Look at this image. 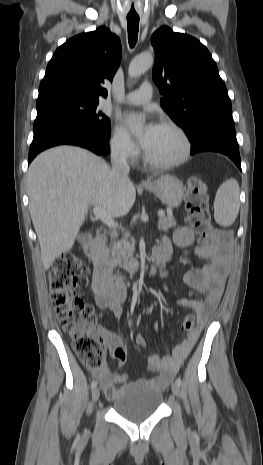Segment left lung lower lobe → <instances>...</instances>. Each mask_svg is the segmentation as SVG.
<instances>
[{"mask_svg": "<svg viewBox=\"0 0 263 465\" xmlns=\"http://www.w3.org/2000/svg\"><path fill=\"white\" fill-rule=\"evenodd\" d=\"M191 143V155L203 151L220 152L231 158L241 170L239 145L236 140L234 123H213L209 128L203 130Z\"/></svg>", "mask_w": 263, "mask_h": 465, "instance_id": "obj_1", "label": "left lung lower lobe"}]
</instances>
